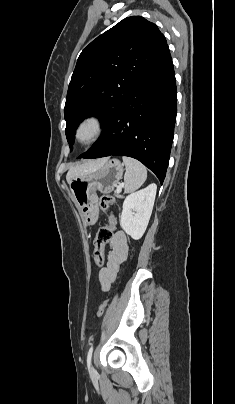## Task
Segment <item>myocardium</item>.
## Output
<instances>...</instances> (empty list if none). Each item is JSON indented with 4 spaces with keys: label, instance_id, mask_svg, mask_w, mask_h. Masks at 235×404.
Returning a JSON list of instances; mask_svg holds the SVG:
<instances>
[{
    "label": "myocardium",
    "instance_id": "obj_1",
    "mask_svg": "<svg viewBox=\"0 0 235 404\" xmlns=\"http://www.w3.org/2000/svg\"><path fill=\"white\" fill-rule=\"evenodd\" d=\"M104 121L97 114H89L83 117L75 129V141L83 146L92 144L103 133Z\"/></svg>",
    "mask_w": 235,
    "mask_h": 404
}]
</instances>
